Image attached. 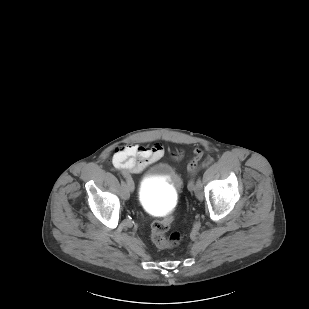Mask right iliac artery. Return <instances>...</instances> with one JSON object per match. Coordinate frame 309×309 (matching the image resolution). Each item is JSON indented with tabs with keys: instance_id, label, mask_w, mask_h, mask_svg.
<instances>
[{
	"instance_id": "obj_1",
	"label": "right iliac artery",
	"mask_w": 309,
	"mask_h": 309,
	"mask_svg": "<svg viewBox=\"0 0 309 309\" xmlns=\"http://www.w3.org/2000/svg\"><path fill=\"white\" fill-rule=\"evenodd\" d=\"M120 175H122V177H124L125 179H127L128 181V185L129 187H134L135 183L134 181H132V173L131 172H125V170H120Z\"/></svg>"
}]
</instances>
